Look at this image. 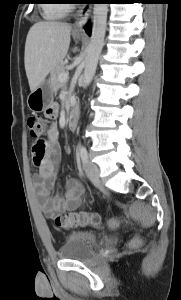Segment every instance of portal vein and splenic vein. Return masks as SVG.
I'll use <instances>...</instances> for the list:
<instances>
[{"label": "portal vein and splenic vein", "instance_id": "1", "mask_svg": "<svg viewBox=\"0 0 181 300\" xmlns=\"http://www.w3.org/2000/svg\"><path fill=\"white\" fill-rule=\"evenodd\" d=\"M59 79H60L61 82L67 83V81H68V79H69V73H68V72L62 73V74L59 76Z\"/></svg>", "mask_w": 181, "mask_h": 300}]
</instances>
